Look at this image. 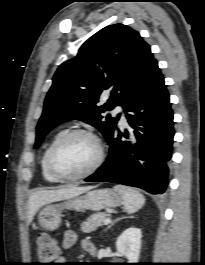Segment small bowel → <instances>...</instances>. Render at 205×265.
Segmentation results:
<instances>
[{
  "label": "small bowel",
  "mask_w": 205,
  "mask_h": 265,
  "mask_svg": "<svg viewBox=\"0 0 205 265\" xmlns=\"http://www.w3.org/2000/svg\"><path fill=\"white\" fill-rule=\"evenodd\" d=\"M76 242V233L74 231H67L64 234L63 241H62V246L65 249L71 248ZM92 243L88 240L83 241L82 247L86 251L87 247L90 246ZM87 252V251H86ZM64 258L61 257L60 261H63Z\"/></svg>",
  "instance_id": "1"
}]
</instances>
